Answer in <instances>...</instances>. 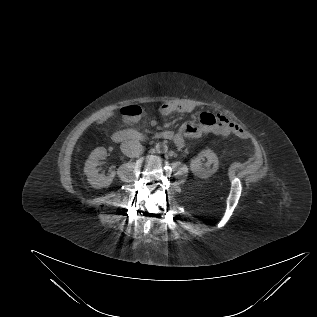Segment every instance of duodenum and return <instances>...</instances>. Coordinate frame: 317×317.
I'll return each instance as SVG.
<instances>
[{
  "mask_svg": "<svg viewBox=\"0 0 317 317\" xmlns=\"http://www.w3.org/2000/svg\"><path fill=\"white\" fill-rule=\"evenodd\" d=\"M174 137V133L170 130L162 131L157 134L158 139L171 140ZM112 139L117 143L126 141H142L144 139L143 133L136 130H118L112 135Z\"/></svg>",
  "mask_w": 317,
  "mask_h": 317,
  "instance_id": "1",
  "label": "duodenum"
}]
</instances>
